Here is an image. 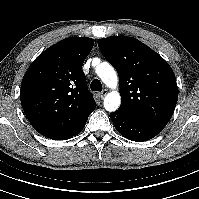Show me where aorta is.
I'll use <instances>...</instances> for the list:
<instances>
[{"label":"aorta","mask_w":199,"mask_h":199,"mask_svg":"<svg viewBox=\"0 0 199 199\" xmlns=\"http://www.w3.org/2000/svg\"><path fill=\"white\" fill-rule=\"evenodd\" d=\"M96 73L102 82L109 88L115 89L118 84L116 71L108 62H102L96 67ZM121 104L118 91L109 92L104 98V108L109 112L116 111Z\"/></svg>","instance_id":"aorta-1"}]
</instances>
